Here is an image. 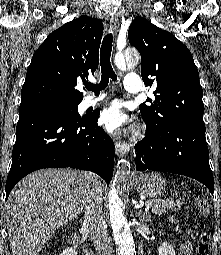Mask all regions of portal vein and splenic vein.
Wrapping results in <instances>:
<instances>
[{"mask_svg": "<svg viewBox=\"0 0 221 255\" xmlns=\"http://www.w3.org/2000/svg\"><path fill=\"white\" fill-rule=\"evenodd\" d=\"M143 205H144V203H143V202H140L139 204L136 205V207L139 208V207H141V206H143ZM148 210H149V206H147V207L145 208V211H148Z\"/></svg>", "mask_w": 221, "mask_h": 255, "instance_id": "1", "label": "portal vein and splenic vein"}]
</instances>
